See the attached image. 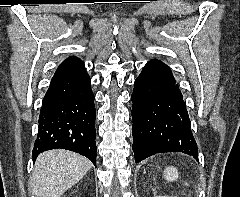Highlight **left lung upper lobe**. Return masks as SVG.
Returning a JSON list of instances; mask_svg holds the SVG:
<instances>
[{"instance_id": "1", "label": "left lung upper lobe", "mask_w": 240, "mask_h": 197, "mask_svg": "<svg viewBox=\"0 0 240 197\" xmlns=\"http://www.w3.org/2000/svg\"><path fill=\"white\" fill-rule=\"evenodd\" d=\"M146 67H159L163 69H168L169 67L162 63L160 60H151L146 64Z\"/></svg>"}]
</instances>
